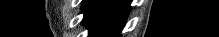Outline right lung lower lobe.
Listing matches in <instances>:
<instances>
[{
  "instance_id": "obj_1",
  "label": "right lung lower lobe",
  "mask_w": 219,
  "mask_h": 37,
  "mask_svg": "<svg viewBox=\"0 0 219 37\" xmlns=\"http://www.w3.org/2000/svg\"><path fill=\"white\" fill-rule=\"evenodd\" d=\"M130 0H83V25L89 37H120Z\"/></svg>"
}]
</instances>
